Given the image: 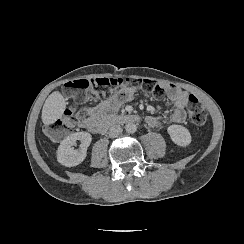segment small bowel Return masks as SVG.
Returning a JSON list of instances; mask_svg holds the SVG:
<instances>
[{
  "label": "small bowel",
  "mask_w": 244,
  "mask_h": 244,
  "mask_svg": "<svg viewBox=\"0 0 244 244\" xmlns=\"http://www.w3.org/2000/svg\"><path fill=\"white\" fill-rule=\"evenodd\" d=\"M164 91L168 99L173 103V108L163 115H150L146 118V122L151 127H156L161 123L165 125L181 124L186 119L185 108L189 103V94L182 88L165 84ZM137 87L133 85H123L116 88L111 96L94 107H85V117L79 120V127L96 133V129L108 114L117 111L123 104L131 101Z\"/></svg>",
  "instance_id": "obj_1"
}]
</instances>
